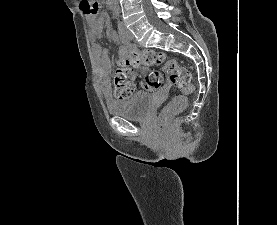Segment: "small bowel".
<instances>
[{
    "label": "small bowel",
    "instance_id": "obj_1",
    "mask_svg": "<svg viewBox=\"0 0 277 225\" xmlns=\"http://www.w3.org/2000/svg\"><path fill=\"white\" fill-rule=\"evenodd\" d=\"M90 26H91V35L93 37L100 36L103 31V26L105 22V16H101L97 19L94 15L88 14L86 16ZM110 38L115 43H120V37L116 31H110L109 33ZM92 52L95 58V62L97 66L100 68V73L104 74L107 70L110 69V59L109 54L107 51H103L101 46L97 42H93L92 44ZM120 53H124V48L120 50ZM106 97L109 96L108 91L105 90Z\"/></svg>",
    "mask_w": 277,
    "mask_h": 225
}]
</instances>
